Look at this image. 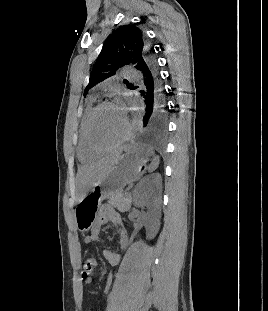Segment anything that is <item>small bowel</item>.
Masks as SVG:
<instances>
[{"label":"small bowel","instance_id":"small-bowel-1","mask_svg":"<svg viewBox=\"0 0 268 311\" xmlns=\"http://www.w3.org/2000/svg\"><path fill=\"white\" fill-rule=\"evenodd\" d=\"M108 222H110L111 224H113V226L117 229L118 231V236H119V244L121 246L122 249L127 248L128 246V233L126 228L123 225L122 219L120 217V215L112 208L110 207H104L97 219L96 224L94 225V227L92 228L91 232L89 235H87L84 238V242L89 245L93 242H102L103 239L100 235V231L101 228L107 224ZM103 255L105 257V259L111 264V265H118L121 261V255L112 251L109 248H106L103 251ZM93 281L92 276H86L84 277V282L85 284L89 285L91 284ZM111 286V279H109V282L106 286L105 289V294L106 296L109 293V289Z\"/></svg>","mask_w":268,"mask_h":311}]
</instances>
